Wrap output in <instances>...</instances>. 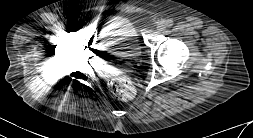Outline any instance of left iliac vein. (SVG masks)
Instances as JSON below:
<instances>
[{
    "label": "left iliac vein",
    "instance_id": "left-iliac-vein-1",
    "mask_svg": "<svg viewBox=\"0 0 253 138\" xmlns=\"http://www.w3.org/2000/svg\"><path fill=\"white\" fill-rule=\"evenodd\" d=\"M157 28H158L159 31L164 30L165 29V23H159Z\"/></svg>",
    "mask_w": 253,
    "mask_h": 138
}]
</instances>
